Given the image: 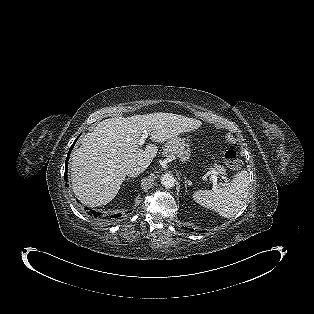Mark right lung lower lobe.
Here are the masks:
<instances>
[{"mask_svg":"<svg viewBox=\"0 0 314 314\" xmlns=\"http://www.w3.org/2000/svg\"><path fill=\"white\" fill-rule=\"evenodd\" d=\"M75 141H76V140H75ZM74 143H75V142H74ZM73 145H74V144H73ZM73 145L71 146V148H70V150H69V152H68L67 158H66V163H65V177H64L65 181H67L68 160H69V155H70V152H71V150H72V148H73ZM91 214H93L95 218H97L98 215H101V214H99V213H97V212H95V211H91ZM120 216H122V214L119 213V214H115V215H112V216H106V217H104L103 219H105V220H107V221H113L114 219H116V218H118V217H120Z\"/></svg>","mask_w":314,"mask_h":314,"instance_id":"right-lung-lower-lobe-1","label":"right lung lower lobe"}]
</instances>
